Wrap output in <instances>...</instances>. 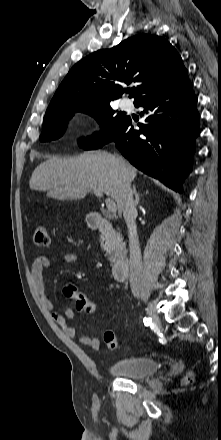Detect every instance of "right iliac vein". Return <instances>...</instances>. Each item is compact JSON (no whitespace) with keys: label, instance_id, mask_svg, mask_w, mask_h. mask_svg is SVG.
<instances>
[{"label":"right iliac vein","instance_id":"63e3f726","mask_svg":"<svg viewBox=\"0 0 221 440\" xmlns=\"http://www.w3.org/2000/svg\"><path fill=\"white\" fill-rule=\"evenodd\" d=\"M148 316L151 318V320L155 323H159V316L157 314L156 308L152 302H149L146 308Z\"/></svg>","mask_w":221,"mask_h":440}]
</instances>
